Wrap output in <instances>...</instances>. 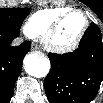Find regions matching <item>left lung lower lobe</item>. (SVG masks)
I'll return each mask as SVG.
<instances>
[{
  "mask_svg": "<svg viewBox=\"0 0 103 103\" xmlns=\"http://www.w3.org/2000/svg\"><path fill=\"white\" fill-rule=\"evenodd\" d=\"M48 57L45 91L50 103H90L95 98L103 79V39L96 24L91 23L74 52Z\"/></svg>",
  "mask_w": 103,
  "mask_h": 103,
  "instance_id": "obj_1",
  "label": "left lung lower lobe"
}]
</instances>
